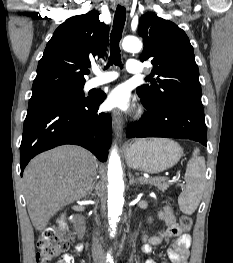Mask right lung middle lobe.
I'll list each match as a JSON object with an SVG mask.
<instances>
[{
	"instance_id": "dd1d6c3e",
	"label": "right lung middle lobe",
	"mask_w": 233,
	"mask_h": 263,
	"mask_svg": "<svg viewBox=\"0 0 233 263\" xmlns=\"http://www.w3.org/2000/svg\"><path fill=\"white\" fill-rule=\"evenodd\" d=\"M84 95L85 94L83 92V86L36 95L31 97L28 108L36 105L46 104L56 101H61V102L85 101L89 97L86 98Z\"/></svg>"
}]
</instances>
